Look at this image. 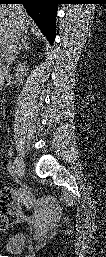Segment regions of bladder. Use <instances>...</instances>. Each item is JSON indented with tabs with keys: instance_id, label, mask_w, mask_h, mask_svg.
I'll use <instances>...</instances> for the list:
<instances>
[{
	"instance_id": "1",
	"label": "bladder",
	"mask_w": 106,
	"mask_h": 257,
	"mask_svg": "<svg viewBox=\"0 0 106 257\" xmlns=\"http://www.w3.org/2000/svg\"><path fill=\"white\" fill-rule=\"evenodd\" d=\"M26 236L23 233H17L9 236L3 243V250L10 254L20 253L26 246Z\"/></svg>"
}]
</instances>
